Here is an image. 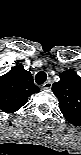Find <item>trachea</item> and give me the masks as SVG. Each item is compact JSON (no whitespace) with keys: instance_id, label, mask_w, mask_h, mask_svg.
<instances>
[{"instance_id":"1","label":"trachea","mask_w":81,"mask_h":155,"mask_svg":"<svg viewBox=\"0 0 81 155\" xmlns=\"http://www.w3.org/2000/svg\"><path fill=\"white\" fill-rule=\"evenodd\" d=\"M47 79V75L44 71H40L36 74V77H35V80H36V83L41 85L43 84Z\"/></svg>"}]
</instances>
